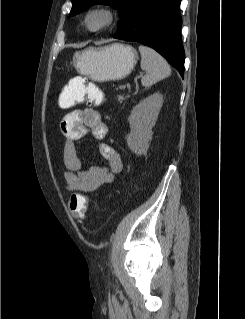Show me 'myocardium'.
Returning <instances> with one entry per match:
<instances>
[{
  "label": "myocardium",
  "instance_id": "f54148a6",
  "mask_svg": "<svg viewBox=\"0 0 245 319\" xmlns=\"http://www.w3.org/2000/svg\"><path fill=\"white\" fill-rule=\"evenodd\" d=\"M100 18L96 25L92 24V19ZM115 21V12L106 6H94L87 10L84 17L85 28L92 32L98 33L108 29Z\"/></svg>",
  "mask_w": 245,
  "mask_h": 319
}]
</instances>
